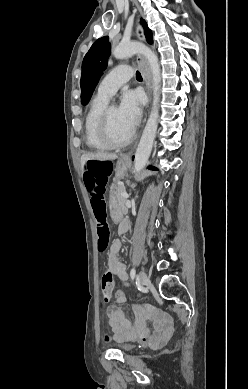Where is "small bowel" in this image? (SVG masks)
Segmentation results:
<instances>
[{
  "instance_id": "small-bowel-1",
  "label": "small bowel",
  "mask_w": 248,
  "mask_h": 389,
  "mask_svg": "<svg viewBox=\"0 0 248 389\" xmlns=\"http://www.w3.org/2000/svg\"><path fill=\"white\" fill-rule=\"evenodd\" d=\"M121 225L125 226L124 231H126L127 224L123 222L119 226V232ZM120 249V241H113L108 252L107 263L109 269L123 282V279L125 277L129 278V276L125 264L119 260ZM114 301L116 304L107 308L106 315L115 341H140L146 346L157 347L164 344L171 337L173 324L168 314L151 309L146 305L132 304L135 318L134 322L130 323L124 310L119 306V304L126 302V298H117ZM147 322L152 325L153 332H151ZM106 341H109V339L107 338Z\"/></svg>"
}]
</instances>
